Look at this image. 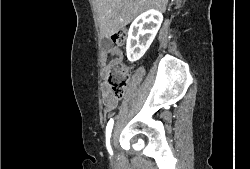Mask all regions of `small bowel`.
I'll list each match as a JSON object with an SVG mask.
<instances>
[{"instance_id":"obj_1","label":"small bowel","mask_w":250,"mask_h":169,"mask_svg":"<svg viewBox=\"0 0 250 169\" xmlns=\"http://www.w3.org/2000/svg\"><path fill=\"white\" fill-rule=\"evenodd\" d=\"M109 53L114 56V59L106 64V71L118 65L122 58L121 51L117 47L110 49ZM102 101L107 110L115 109L118 104V100L111 96L107 85H104L102 88Z\"/></svg>"}]
</instances>
